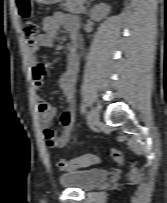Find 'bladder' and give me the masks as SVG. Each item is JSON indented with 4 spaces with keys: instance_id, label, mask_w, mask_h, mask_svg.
<instances>
[{
    "instance_id": "31cf9c89",
    "label": "bladder",
    "mask_w": 167,
    "mask_h": 203,
    "mask_svg": "<svg viewBox=\"0 0 167 203\" xmlns=\"http://www.w3.org/2000/svg\"><path fill=\"white\" fill-rule=\"evenodd\" d=\"M109 178L110 172L108 170L90 168L65 172L59 176V182L65 187L89 190Z\"/></svg>"
}]
</instances>
